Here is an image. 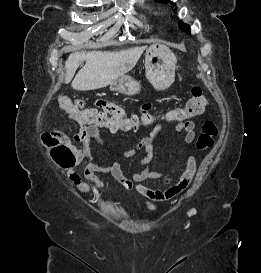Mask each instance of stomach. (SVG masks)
<instances>
[{
  "mask_svg": "<svg viewBox=\"0 0 261 273\" xmlns=\"http://www.w3.org/2000/svg\"><path fill=\"white\" fill-rule=\"evenodd\" d=\"M176 57L165 45L154 44L145 52V73L147 79L157 90L167 89L175 80ZM112 90L125 95L140 92V82L123 75L110 84Z\"/></svg>",
  "mask_w": 261,
  "mask_h": 273,
  "instance_id": "0dacf381",
  "label": "stomach"
}]
</instances>
